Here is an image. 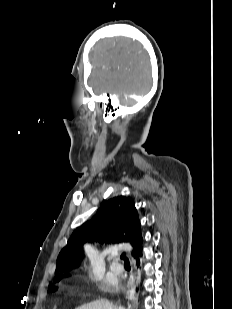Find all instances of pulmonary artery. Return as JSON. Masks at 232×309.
<instances>
[{"label": "pulmonary artery", "mask_w": 232, "mask_h": 309, "mask_svg": "<svg viewBox=\"0 0 232 309\" xmlns=\"http://www.w3.org/2000/svg\"><path fill=\"white\" fill-rule=\"evenodd\" d=\"M110 270L115 274H121L124 271V267L117 262H112L110 264Z\"/></svg>", "instance_id": "1"}]
</instances>
